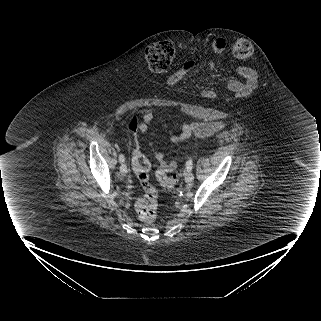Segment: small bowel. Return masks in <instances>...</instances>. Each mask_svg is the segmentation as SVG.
Wrapping results in <instances>:
<instances>
[{
  "label": "small bowel",
  "instance_id": "obj_1",
  "mask_svg": "<svg viewBox=\"0 0 321 321\" xmlns=\"http://www.w3.org/2000/svg\"><path fill=\"white\" fill-rule=\"evenodd\" d=\"M212 50L217 55H223L226 50V42L221 38L214 39L212 42ZM214 63L210 62L212 66ZM195 67V63L192 61L186 62L180 69L174 72L169 77V83L175 85L189 75ZM239 75L241 78L245 79L242 83L239 79H234L230 83V88L232 91L239 95H244L251 90L252 84L255 83L256 77L252 74V69L248 65H243L239 69ZM154 115L151 111H146L143 115L142 122L140 123L138 130L140 133H146L149 130V126L152 123ZM224 128V124L218 121L195 123L188 122L184 123L181 127V131L178 134L171 136V141L174 144H180L192 136L196 137H209L214 135L218 131ZM154 155L157 160V175L167 174L175 170L177 164L175 161L167 162L164 155L154 150Z\"/></svg>",
  "mask_w": 321,
  "mask_h": 321
}]
</instances>
